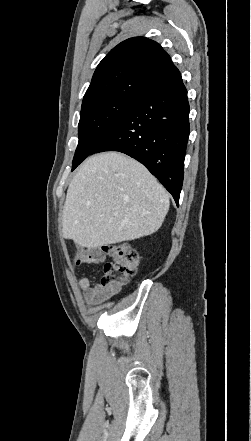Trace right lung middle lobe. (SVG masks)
I'll list each match as a JSON object with an SVG mask.
<instances>
[{
    "label": "right lung middle lobe",
    "instance_id": "obj_1",
    "mask_svg": "<svg viewBox=\"0 0 251 441\" xmlns=\"http://www.w3.org/2000/svg\"><path fill=\"white\" fill-rule=\"evenodd\" d=\"M141 96L102 99L81 109L78 125L79 142L72 171L91 154L95 146L123 119Z\"/></svg>",
    "mask_w": 251,
    "mask_h": 441
}]
</instances>
